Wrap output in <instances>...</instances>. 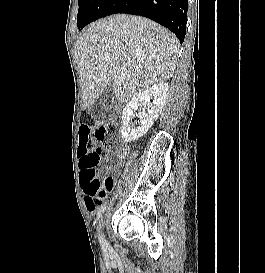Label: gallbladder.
I'll list each match as a JSON object with an SVG mask.
<instances>
[{
  "label": "gallbladder",
  "mask_w": 265,
  "mask_h": 273,
  "mask_svg": "<svg viewBox=\"0 0 265 273\" xmlns=\"http://www.w3.org/2000/svg\"><path fill=\"white\" fill-rule=\"evenodd\" d=\"M119 109V102L112 88L105 90L99 97L95 107L94 116L98 119H109Z\"/></svg>",
  "instance_id": "bac80fb5"
}]
</instances>
